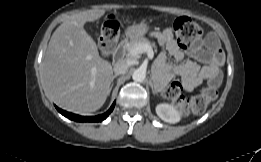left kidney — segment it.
<instances>
[{
  "instance_id": "left-kidney-1",
  "label": "left kidney",
  "mask_w": 261,
  "mask_h": 162,
  "mask_svg": "<svg viewBox=\"0 0 261 162\" xmlns=\"http://www.w3.org/2000/svg\"><path fill=\"white\" fill-rule=\"evenodd\" d=\"M157 115L165 122L177 123L181 119V112L174 105L162 103L156 106Z\"/></svg>"
}]
</instances>
